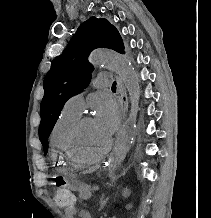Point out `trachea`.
<instances>
[{
  "mask_svg": "<svg viewBox=\"0 0 211 218\" xmlns=\"http://www.w3.org/2000/svg\"><path fill=\"white\" fill-rule=\"evenodd\" d=\"M112 88H116V82H113Z\"/></svg>",
  "mask_w": 211,
  "mask_h": 218,
  "instance_id": "obj_1",
  "label": "trachea"
}]
</instances>
